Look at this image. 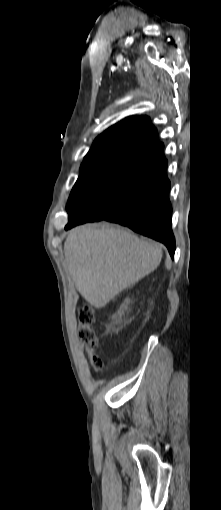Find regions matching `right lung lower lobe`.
I'll use <instances>...</instances> for the list:
<instances>
[{
  "instance_id": "right-lung-lower-lobe-1",
  "label": "right lung lower lobe",
  "mask_w": 221,
  "mask_h": 510,
  "mask_svg": "<svg viewBox=\"0 0 221 510\" xmlns=\"http://www.w3.org/2000/svg\"><path fill=\"white\" fill-rule=\"evenodd\" d=\"M162 149L148 159L132 182L122 203L108 214H90L86 203L69 214L68 230L89 221L105 220L131 228L166 245L172 258L175 238L171 228L172 207L169 202L170 181Z\"/></svg>"
}]
</instances>
